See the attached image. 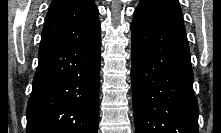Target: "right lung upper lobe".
<instances>
[{
	"label": "right lung upper lobe",
	"mask_w": 221,
	"mask_h": 133,
	"mask_svg": "<svg viewBox=\"0 0 221 133\" xmlns=\"http://www.w3.org/2000/svg\"><path fill=\"white\" fill-rule=\"evenodd\" d=\"M94 0H53L46 15L39 50L80 45L99 30Z\"/></svg>",
	"instance_id": "cb5924a9"
}]
</instances>
